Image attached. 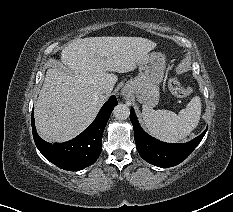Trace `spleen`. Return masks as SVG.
<instances>
[{"instance_id":"obj_1","label":"spleen","mask_w":233,"mask_h":212,"mask_svg":"<svg viewBox=\"0 0 233 212\" xmlns=\"http://www.w3.org/2000/svg\"><path fill=\"white\" fill-rule=\"evenodd\" d=\"M142 116L148 131L165 142H178L187 137L198 125L201 99L195 96L185 109L176 114L169 110H153L143 105Z\"/></svg>"}]
</instances>
